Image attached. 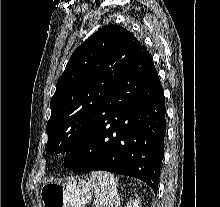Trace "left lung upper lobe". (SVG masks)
Wrapping results in <instances>:
<instances>
[{
    "label": "left lung upper lobe",
    "mask_w": 220,
    "mask_h": 207,
    "mask_svg": "<svg viewBox=\"0 0 220 207\" xmlns=\"http://www.w3.org/2000/svg\"><path fill=\"white\" fill-rule=\"evenodd\" d=\"M140 46L127 29L108 25L73 52L51 99L48 154L70 152L87 137Z\"/></svg>",
    "instance_id": "obj_1"
}]
</instances>
